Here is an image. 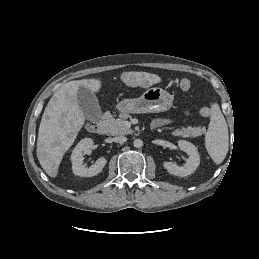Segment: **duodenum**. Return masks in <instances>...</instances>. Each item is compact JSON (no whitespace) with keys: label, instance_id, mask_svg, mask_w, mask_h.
<instances>
[{"label":"duodenum","instance_id":"1","mask_svg":"<svg viewBox=\"0 0 259 259\" xmlns=\"http://www.w3.org/2000/svg\"><path fill=\"white\" fill-rule=\"evenodd\" d=\"M87 130L88 132L92 134L102 135L106 131L105 124L103 122L99 123H89L87 124Z\"/></svg>","mask_w":259,"mask_h":259}]
</instances>
